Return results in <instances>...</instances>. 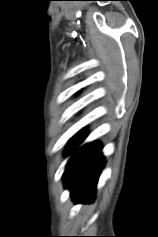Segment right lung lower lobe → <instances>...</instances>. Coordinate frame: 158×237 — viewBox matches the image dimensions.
<instances>
[{
	"label": "right lung lower lobe",
	"instance_id": "98d812e1",
	"mask_svg": "<svg viewBox=\"0 0 158 237\" xmlns=\"http://www.w3.org/2000/svg\"><path fill=\"white\" fill-rule=\"evenodd\" d=\"M84 138L85 132L81 130L70 140L67 154L75 151ZM103 166L101 146L97 142L83 146L72 155L63 179L65 187L71 189L74 202L93 201L96 183Z\"/></svg>",
	"mask_w": 158,
	"mask_h": 237
}]
</instances>
